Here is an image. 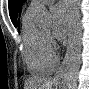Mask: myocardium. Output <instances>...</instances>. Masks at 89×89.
I'll return each mask as SVG.
<instances>
[{
  "instance_id": "myocardium-1",
  "label": "myocardium",
  "mask_w": 89,
  "mask_h": 89,
  "mask_svg": "<svg viewBox=\"0 0 89 89\" xmlns=\"http://www.w3.org/2000/svg\"><path fill=\"white\" fill-rule=\"evenodd\" d=\"M43 35H44V38L46 39V42L49 41V35L47 33H44V32H43Z\"/></svg>"
}]
</instances>
